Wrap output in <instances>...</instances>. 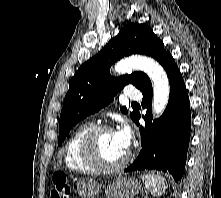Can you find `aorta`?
<instances>
[{"mask_svg": "<svg viewBox=\"0 0 221 198\" xmlns=\"http://www.w3.org/2000/svg\"><path fill=\"white\" fill-rule=\"evenodd\" d=\"M132 69L145 72L153 83V113L159 116L165 110L170 93L169 80L163 67L146 56H132L118 62L115 71L127 73Z\"/></svg>", "mask_w": 221, "mask_h": 198, "instance_id": "obj_1", "label": "aorta"}]
</instances>
